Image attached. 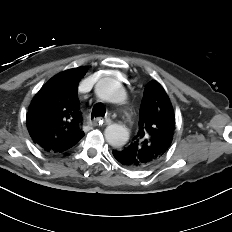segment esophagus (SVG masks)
<instances>
[{"label": "esophagus", "mask_w": 232, "mask_h": 232, "mask_svg": "<svg viewBox=\"0 0 232 232\" xmlns=\"http://www.w3.org/2000/svg\"><path fill=\"white\" fill-rule=\"evenodd\" d=\"M111 120L109 118H96L93 120V125H109L111 124Z\"/></svg>", "instance_id": "obj_1"}]
</instances>
